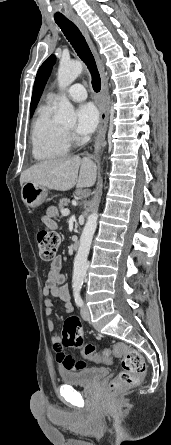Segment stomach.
Instances as JSON below:
<instances>
[{"label":"stomach","instance_id":"0dacf381","mask_svg":"<svg viewBox=\"0 0 171 445\" xmlns=\"http://www.w3.org/2000/svg\"><path fill=\"white\" fill-rule=\"evenodd\" d=\"M23 202L29 208H36L48 201V189L45 186L37 185L32 182H26L21 189Z\"/></svg>","mask_w":171,"mask_h":445}]
</instances>
